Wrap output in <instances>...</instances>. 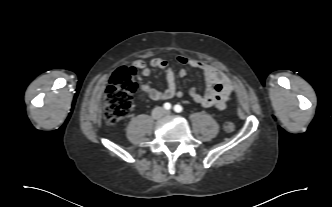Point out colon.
<instances>
[{"label":"colon","mask_w":332,"mask_h":207,"mask_svg":"<svg viewBox=\"0 0 332 207\" xmlns=\"http://www.w3.org/2000/svg\"><path fill=\"white\" fill-rule=\"evenodd\" d=\"M134 77L135 70L129 67L118 68L111 76L105 90L104 102V117L109 124L118 123L129 113L133 103V94L138 89ZM234 128L235 125L231 121L224 125L227 132H232Z\"/></svg>","instance_id":"5ec220e1"}]
</instances>
